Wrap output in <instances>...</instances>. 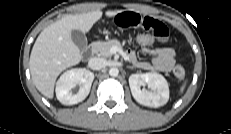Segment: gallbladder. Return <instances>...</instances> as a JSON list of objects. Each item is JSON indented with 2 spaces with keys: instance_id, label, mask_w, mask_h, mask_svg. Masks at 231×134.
Returning <instances> with one entry per match:
<instances>
[{
  "instance_id": "gallbladder-1",
  "label": "gallbladder",
  "mask_w": 231,
  "mask_h": 134,
  "mask_svg": "<svg viewBox=\"0 0 231 134\" xmlns=\"http://www.w3.org/2000/svg\"><path fill=\"white\" fill-rule=\"evenodd\" d=\"M71 38L74 44L81 50L87 47V38L80 30H72Z\"/></svg>"
}]
</instances>
